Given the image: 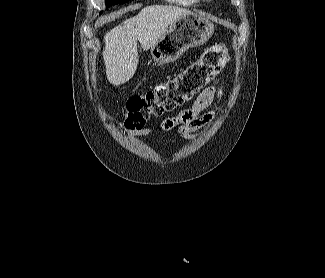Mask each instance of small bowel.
<instances>
[{"label": "small bowel", "instance_id": "c3829d8e", "mask_svg": "<svg viewBox=\"0 0 325 278\" xmlns=\"http://www.w3.org/2000/svg\"><path fill=\"white\" fill-rule=\"evenodd\" d=\"M223 96V87L210 86L205 88L196 98L191 107L181 111L178 115L165 119L161 124L163 131L177 129L186 139H192L193 133L213 120L218 111ZM213 107L207 111L211 106ZM204 112V113H203ZM153 134L149 128L130 131L128 135L148 136Z\"/></svg>", "mask_w": 325, "mask_h": 278}]
</instances>
